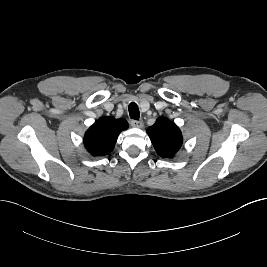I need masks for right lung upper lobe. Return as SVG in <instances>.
I'll list each match as a JSON object with an SVG mask.
<instances>
[{
  "instance_id": "1",
  "label": "right lung upper lobe",
  "mask_w": 267,
  "mask_h": 267,
  "mask_svg": "<svg viewBox=\"0 0 267 267\" xmlns=\"http://www.w3.org/2000/svg\"><path fill=\"white\" fill-rule=\"evenodd\" d=\"M127 128L124 119L101 117L86 131L84 145L95 156L107 155L113 150L120 132Z\"/></svg>"
}]
</instances>
